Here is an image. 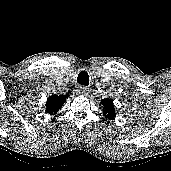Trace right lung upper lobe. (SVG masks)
Instances as JSON below:
<instances>
[{
  "instance_id": "right-lung-upper-lobe-1",
  "label": "right lung upper lobe",
  "mask_w": 171,
  "mask_h": 171,
  "mask_svg": "<svg viewBox=\"0 0 171 171\" xmlns=\"http://www.w3.org/2000/svg\"><path fill=\"white\" fill-rule=\"evenodd\" d=\"M69 95H52L47 99L46 102V111L47 113L53 115L56 114L57 111L61 108L63 103Z\"/></svg>"
}]
</instances>
